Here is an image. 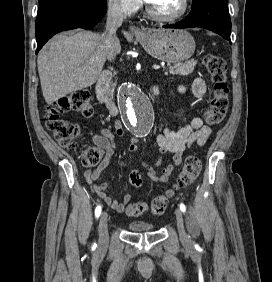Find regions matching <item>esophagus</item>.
I'll return each instance as SVG.
<instances>
[{
    "mask_svg": "<svg viewBox=\"0 0 272 282\" xmlns=\"http://www.w3.org/2000/svg\"><path fill=\"white\" fill-rule=\"evenodd\" d=\"M130 30H131V32L132 33H134V34H138V33H140V29L137 27V26H130Z\"/></svg>",
    "mask_w": 272,
    "mask_h": 282,
    "instance_id": "34e87169",
    "label": "esophagus"
}]
</instances>
